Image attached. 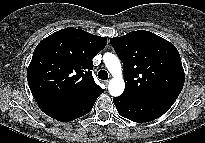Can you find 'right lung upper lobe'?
<instances>
[{"mask_svg": "<svg viewBox=\"0 0 205 143\" xmlns=\"http://www.w3.org/2000/svg\"><path fill=\"white\" fill-rule=\"evenodd\" d=\"M107 44L106 37L72 27L43 39L27 69L30 90L39 106L71 107L104 91L92 76V59Z\"/></svg>", "mask_w": 205, "mask_h": 143, "instance_id": "1", "label": "right lung upper lobe"}]
</instances>
